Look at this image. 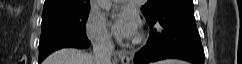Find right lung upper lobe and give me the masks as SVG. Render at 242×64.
<instances>
[{
    "label": "right lung upper lobe",
    "mask_w": 242,
    "mask_h": 64,
    "mask_svg": "<svg viewBox=\"0 0 242 64\" xmlns=\"http://www.w3.org/2000/svg\"><path fill=\"white\" fill-rule=\"evenodd\" d=\"M90 9L89 0H45L43 14Z\"/></svg>",
    "instance_id": "right-lung-upper-lobe-1"
}]
</instances>
